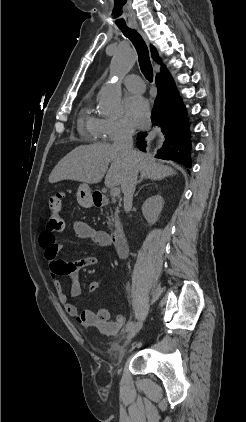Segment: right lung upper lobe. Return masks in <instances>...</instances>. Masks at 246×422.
Wrapping results in <instances>:
<instances>
[{
  "mask_svg": "<svg viewBox=\"0 0 246 422\" xmlns=\"http://www.w3.org/2000/svg\"><path fill=\"white\" fill-rule=\"evenodd\" d=\"M151 55H152V58L155 62L161 61V59L158 56L157 50L152 45H151ZM167 76H170V75H169L167 69L165 68V66H162L161 67V73H158L156 77H167Z\"/></svg>",
  "mask_w": 246,
  "mask_h": 422,
  "instance_id": "right-lung-upper-lobe-1",
  "label": "right lung upper lobe"
}]
</instances>
